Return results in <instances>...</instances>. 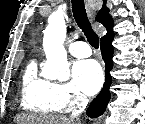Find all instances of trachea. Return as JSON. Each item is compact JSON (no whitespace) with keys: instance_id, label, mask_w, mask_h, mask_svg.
I'll return each instance as SVG.
<instances>
[{"instance_id":"obj_1","label":"trachea","mask_w":145,"mask_h":124,"mask_svg":"<svg viewBox=\"0 0 145 124\" xmlns=\"http://www.w3.org/2000/svg\"><path fill=\"white\" fill-rule=\"evenodd\" d=\"M72 12L77 25L86 35L89 44L97 49L99 47V37L93 31L91 24L88 20L84 1L72 0Z\"/></svg>"}]
</instances>
